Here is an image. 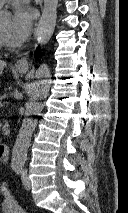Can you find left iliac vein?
Segmentation results:
<instances>
[{"label": "left iliac vein", "instance_id": "left-iliac-vein-1", "mask_svg": "<svg viewBox=\"0 0 128 213\" xmlns=\"http://www.w3.org/2000/svg\"><path fill=\"white\" fill-rule=\"evenodd\" d=\"M22 183L25 189L29 190L31 188V181L28 177L27 171L23 170L22 172Z\"/></svg>", "mask_w": 128, "mask_h": 213}]
</instances>
